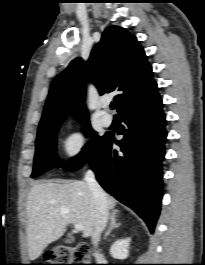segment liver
I'll list each match as a JSON object with an SVG mask.
<instances>
[{"label":"liver","instance_id":"6515ba94","mask_svg":"<svg viewBox=\"0 0 205 265\" xmlns=\"http://www.w3.org/2000/svg\"><path fill=\"white\" fill-rule=\"evenodd\" d=\"M108 210L116 212V200L106 195ZM27 241L29 259L59 239L68 224H81L83 237L92 236L96 212L92 192L86 181H45L36 183L27 197Z\"/></svg>","mask_w":205,"mask_h":265}]
</instances>
